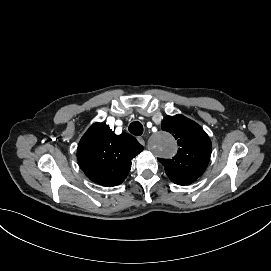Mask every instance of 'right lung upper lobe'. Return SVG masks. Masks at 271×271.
Listing matches in <instances>:
<instances>
[{
    "label": "right lung upper lobe",
    "mask_w": 271,
    "mask_h": 271,
    "mask_svg": "<svg viewBox=\"0 0 271 271\" xmlns=\"http://www.w3.org/2000/svg\"><path fill=\"white\" fill-rule=\"evenodd\" d=\"M143 146L129 134L115 135L104 123L93 124L81 138L77 158L86 176L103 186L121 184L131 169V160Z\"/></svg>",
    "instance_id": "cb5924a9"
}]
</instances>
